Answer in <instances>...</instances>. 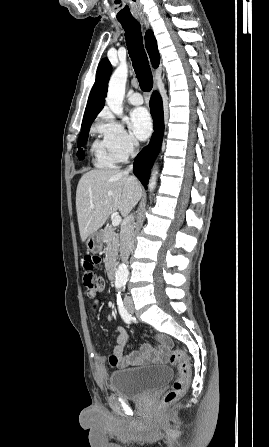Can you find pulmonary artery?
<instances>
[{"label":"pulmonary artery","mask_w":269,"mask_h":447,"mask_svg":"<svg viewBox=\"0 0 269 447\" xmlns=\"http://www.w3.org/2000/svg\"><path fill=\"white\" fill-rule=\"evenodd\" d=\"M128 101L132 105H141L144 103L143 96L138 92L130 94Z\"/></svg>","instance_id":"1"}]
</instances>
